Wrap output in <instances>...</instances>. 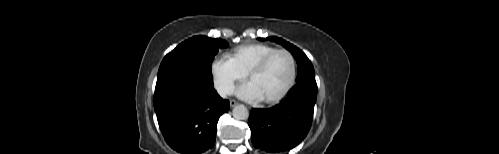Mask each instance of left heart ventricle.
Returning a JSON list of instances; mask_svg holds the SVG:
<instances>
[{"instance_id":"1","label":"left heart ventricle","mask_w":499,"mask_h":154,"mask_svg":"<svg viewBox=\"0 0 499 154\" xmlns=\"http://www.w3.org/2000/svg\"><path fill=\"white\" fill-rule=\"evenodd\" d=\"M291 74V63L284 54H278L261 72L254 74L249 80L258 90L261 99L278 95L286 86Z\"/></svg>"}]
</instances>
